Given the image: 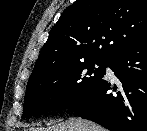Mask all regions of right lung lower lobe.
Masks as SVG:
<instances>
[{"instance_id":"98d812e1","label":"right lung lower lobe","mask_w":147,"mask_h":131,"mask_svg":"<svg viewBox=\"0 0 147 131\" xmlns=\"http://www.w3.org/2000/svg\"><path fill=\"white\" fill-rule=\"evenodd\" d=\"M108 66L117 84L101 79L68 109L110 131H147V38L117 53Z\"/></svg>"}]
</instances>
